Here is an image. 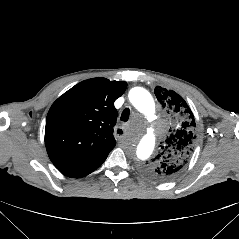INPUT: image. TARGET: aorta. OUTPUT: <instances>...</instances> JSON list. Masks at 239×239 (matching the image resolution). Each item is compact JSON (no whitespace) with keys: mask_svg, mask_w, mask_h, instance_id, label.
I'll return each instance as SVG.
<instances>
[{"mask_svg":"<svg viewBox=\"0 0 239 239\" xmlns=\"http://www.w3.org/2000/svg\"><path fill=\"white\" fill-rule=\"evenodd\" d=\"M128 96L132 105L145 117L150 118L154 115V100L146 89L141 87L132 88ZM155 142L154 135L150 133L143 135L136 148L135 158L139 161L148 159L153 151Z\"/></svg>","mask_w":239,"mask_h":239,"instance_id":"aorta-1","label":"aorta"}]
</instances>
